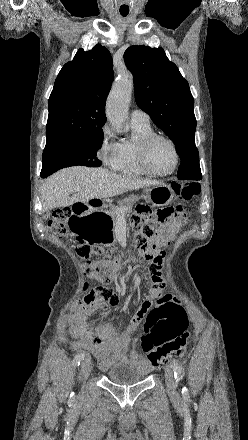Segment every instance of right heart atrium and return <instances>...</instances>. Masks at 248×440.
<instances>
[{
    "label": "right heart atrium",
    "instance_id": "obj_1",
    "mask_svg": "<svg viewBox=\"0 0 248 440\" xmlns=\"http://www.w3.org/2000/svg\"><path fill=\"white\" fill-rule=\"evenodd\" d=\"M119 143L115 140L114 133L108 124L103 125L101 140L98 147V157L101 162L114 169L118 159Z\"/></svg>",
    "mask_w": 248,
    "mask_h": 440
}]
</instances>
